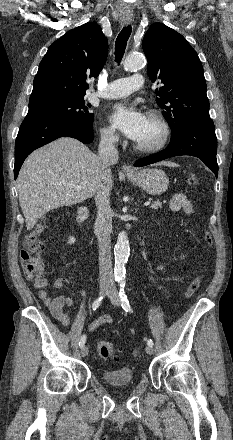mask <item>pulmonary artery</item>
Listing matches in <instances>:
<instances>
[{"label": "pulmonary artery", "mask_w": 233, "mask_h": 440, "mask_svg": "<svg viewBox=\"0 0 233 440\" xmlns=\"http://www.w3.org/2000/svg\"><path fill=\"white\" fill-rule=\"evenodd\" d=\"M143 76L134 74L130 77L117 79L99 89L96 95L106 99L121 98L130 95L143 86Z\"/></svg>", "instance_id": "pulmonary-artery-1"}]
</instances>
